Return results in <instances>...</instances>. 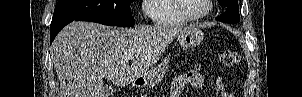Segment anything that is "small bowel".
I'll use <instances>...</instances> for the list:
<instances>
[{
	"instance_id": "obj_1",
	"label": "small bowel",
	"mask_w": 302,
	"mask_h": 97,
	"mask_svg": "<svg viewBox=\"0 0 302 97\" xmlns=\"http://www.w3.org/2000/svg\"><path fill=\"white\" fill-rule=\"evenodd\" d=\"M204 72L205 69L201 65H197L194 69L188 70L176 77L172 81L169 96L180 97L187 85H191L195 89H200L204 83ZM216 97H230L220 77L216 78Z\"/></svg>"
}]
</instances>
